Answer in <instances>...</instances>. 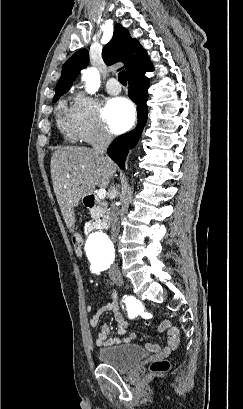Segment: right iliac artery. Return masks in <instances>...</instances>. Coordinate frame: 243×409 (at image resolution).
Returning a JSON list of instances; mask_svg holds the SVG:
<instances>
[{"instance_id": "right-iliac-artery-1", "label": "right iliac artery", "mask_w": 243, "mask_h": 409, "mask_svg": "<svg viewBox=\"0 0 243 409\" xmlns=\"http://www.w3.org/2000/svg\"><path fill=\"white\" fill-rule=\"evenodd\" d=\"M92 272H93V273H96V274H100L101 269L96 268V269H93Z\"/></svg>"}]
</instances>
